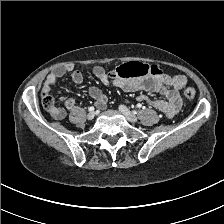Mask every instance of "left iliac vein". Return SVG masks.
Wrapping results in <instances>:
<instances>
[{"label":"left iliac vein","mask_w":224,"mask_h":224,"mask_svg":"<svg viewBox=\"0 0 224 224\" xmlns=\"http://www.w3.org/2000/svg\"><path fill=\"white\" fill-rule=\"evenodd\" d=\"M120 112L126 117V119L130 122H137L138 118L137 116L132 113L126 106H119Z\"/></svg>","instance_id":"1"}]
</instances>
